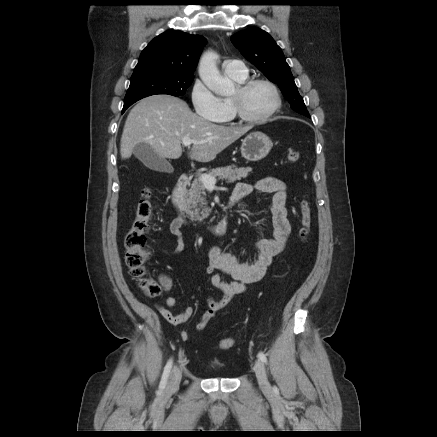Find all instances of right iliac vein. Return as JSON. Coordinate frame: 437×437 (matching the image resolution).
Segmentation results:
<instances>
[{"instance_id":"right-iliac-vein-1","label":"right iliac vein","mask_w":437,"mask_h":437,"mask_svg":"<svg viewBox=\"0 0 437 437\" xmlns=\"http://www.w3.org/2000/svg\"><path fill=\"white\" fill-rule=\"evenodd\" d=\"M181 370L179 367L175 366L169 376V380L166 386V393H172L176 391L179 387L181 381Z\"/></svg>"}]
</instances>
